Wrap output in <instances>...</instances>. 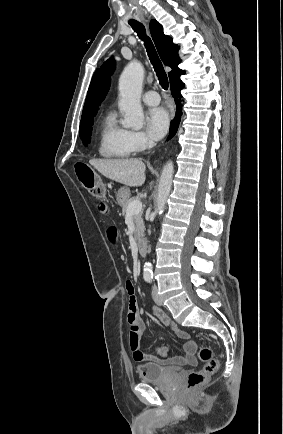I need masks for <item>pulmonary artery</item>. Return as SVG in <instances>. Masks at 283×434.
<instances>
[{
  "label": "pulmonary artery",
  "mask_w": 283,
  "mask_h": 434,
  "mask_svg": "<svg viewBox=\"0 0 283 434\" xmlns=\"http://www.w3.org/2000/svg\"><path fill=\"white\" fill-rule=\"evenodd\" d=\"M142 99H143V102L145 104L150 105V106H155V105L159 104V102H160V97H159L158 93L155 91L145 92L143 94Z\"/></svg>",
  "instance_id": "pulmonary-artery-1"
}]
</instances>
